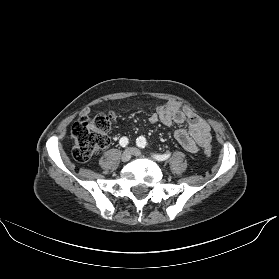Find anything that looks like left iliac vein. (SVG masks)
<instances>
[{"label": "left iliac vein", "instance_id": "obj_1", "mask_svg": "<svg viewBox=\"0 0 279 279\" xmlns=\"http://www.w3.org/2000/svg\"><path fill=\"white\" fill-rule=\"evenodd\" d=\"M131 150H132V153H133L134 156H141V152H140L139 149L131 148Z\"/></svg>", "mask_w": 279, "mask_h": 279}]
</instances>
